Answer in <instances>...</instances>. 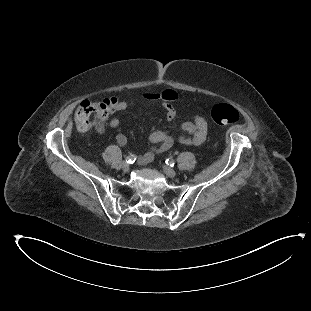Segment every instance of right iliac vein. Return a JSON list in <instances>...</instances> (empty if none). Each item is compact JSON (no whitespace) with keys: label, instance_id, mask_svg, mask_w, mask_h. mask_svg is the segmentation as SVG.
I'll list each match as a JSON object with an SVG mask.
<instances>
[{"label":"right iliac vein","instance_id":"63e3f726","mask_svg":"<svg viewBox=\"0 0 311 311\" xmlns=\"http://www.w3.org/2000/svg\"><path fill=\"white\" fill-rule=\"evenodd\" d=\"M129 168H130L129 163H127L126 161H124V162L122 163V169H123V171L127 172V171H129Z\"/></svg>","mask_w":311,"mask_h":311}]
</instances>
